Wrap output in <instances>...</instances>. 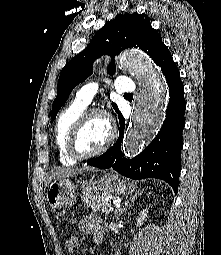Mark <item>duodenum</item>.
Masks as SVG:
<instances>
[{
  "label": "duodenum",
  "mask_w": 221,
  "mask_h": 255,
  "mask_svg": "<svg viewBox=\"0 0 221 255\" xmlns=\"http://www.w3.org/2000/svg\"><path fill=\"white\" fill-rule=\"evenodd\" d=\"M96 244H100V240H97V241H96Z\"/></svg>",
  "instance_id": "1"
}]
</instances>
